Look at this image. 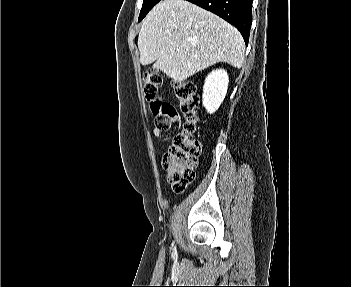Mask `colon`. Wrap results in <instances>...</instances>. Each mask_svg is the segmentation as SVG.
Returning a JSON list of instances; mask_svg holds the SVG:
<instances>
[{
	"label": "colon",
	"instance_id": "obj_1",
	"mask_svg": "<svg viewBox=\"0 0 351 287\" xmlns=\"http://www.w3.org/2000/svg\"><path fill=\"white\" fill-rule=\"evenodd\" d=\"M162 84V77L157 71L145 74L143 93L150 102L156 115L155 126L161 131L168 130L172 119L179 115L178 110L169 102L157 97ZM175 94L179 102V110L186 122L181 133L177 134L172 145L163 157V167L168 172V180L176 193L184 192L195 178V167L201 153L199 141L195 138L199 95L196 85L191 80L180 81L175 86Z\"/></svg>",
	"mask_w": 351,
	"mask_h": 287
}]
</instances>
